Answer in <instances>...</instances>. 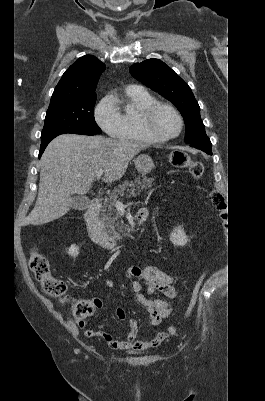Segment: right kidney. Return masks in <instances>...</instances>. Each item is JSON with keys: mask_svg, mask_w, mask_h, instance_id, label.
I'll use <instances>...</instances> for the list:
<instances>
[{"mask_svg": "<svg viewBox=\"0 0 265 401\" xmlns=\"http://www.w3.org/2000/svg\"><path fill=\"white\" fill-rule=\"evenodd\" d=\"M68 255H71V257H77V255H79L78 247H76V245H71V247H69Z\"/></svg>", "mask_w": 265, "mask_h": 401, "instance_id": "obj_1", "label": "right kidney"}]
</instances>
